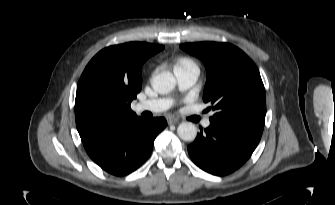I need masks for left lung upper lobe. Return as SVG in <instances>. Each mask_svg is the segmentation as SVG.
Listing matches in <instances>:
<instances>
[{
    "label": "left lung upper lobe",
    "mask_w": 335,
    "mask_h": 205,
    "mask_svg": "<svg viewBox=\"0 0 335 205\" xmlns=\"http://www.w3.org/2000/svg\"><path fill=\"white\" fill-rule=\"evenodd\" d=\"M180 48L200 58L207 70L204 102L213 104L214 120L262 134L266 115L264 85L254 62L229 43L199 42Z\"/></svg>",
    "instance_id": "1"
}]
</instances>
